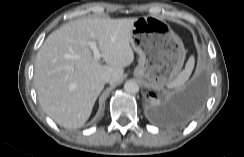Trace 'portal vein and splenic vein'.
Masks as SVG:
<instances>
[{
    "label": "portal vein and splenic vein",
    "mask_w": 244,
    "mask_h": 157,
    "mask_svg": "<svg viewBox=\"0 0 244 157\" xmlns=\"http://www.w3.org/2000/svg\"><path fill=\"white\" fill-rule=\"evenodd\" d=\"M89 46H90V48L93 51L94 59L95 60H100V58L102 57V54L100 53L96 42L95 41L89 42Z\"/></svg>",
    "instance_id": "18ae733b"
}]
</instances>
